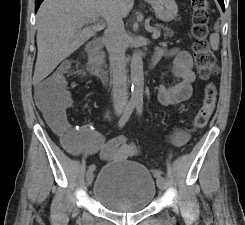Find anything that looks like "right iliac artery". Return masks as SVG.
I'll list each match as a JSON object with an SVG mask.
<instances>
[{"label":"right iliac artery","mask_w":245,"mask_h":225,"mask_svg":"<svg viewBox=\"0 0 245 225\" xmlns=\"http://www.w3.org/2000/svg\"><path fill=\"white\" fill-rule=\"evenodd\" d=\"M135 106H136V103L133 102V101H130L128 103L123 115L121 116V118H120V120L118 122V127L119 128H122L126 124V122L129 120V118H130ZM95 169H96V166L94 164L89 166V170L90 171H94Z\"/></svg>","instance_id":"right-iliac-artery-1"}]
</instances>
